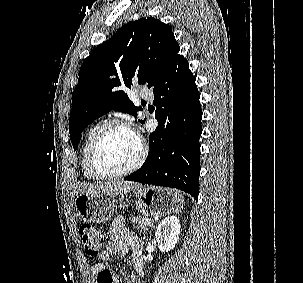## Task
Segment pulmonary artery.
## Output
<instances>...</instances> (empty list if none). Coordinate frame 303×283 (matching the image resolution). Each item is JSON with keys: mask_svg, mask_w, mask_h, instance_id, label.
Segmentation results:
<instances>
[{"mask_svg": "<svg viewBox=\"0 0 303 283\" xmlns=\"http://www.w3.org/2000/svg\"><path fill=\"white\" fill-rule=\"evenodd\" d=\"M139 94L142 98L144 99H147V100H152L153 97H154V94L152 91L146 89V88H143L139 91Z\"/></svg>", "mask_w": 303, "mask_h": 283, "instance_id": "e3ab8cb5", "label": "pulmonary artery"}]
</instances>
